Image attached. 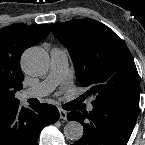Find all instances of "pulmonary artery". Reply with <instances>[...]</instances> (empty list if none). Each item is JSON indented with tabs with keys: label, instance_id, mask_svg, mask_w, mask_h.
I'll return each instance as SVG.
<instances>
[{
	"label": "pulmonary artery",
	"instance_id": "pulmonary-artery-1",
	"mask_svg": "<svg viewBox=\"0 0 145 145\" xmlns=\"http://www.w3.org/2000/svg\"><path fill=\"white\" fill-rule=\"evenodd\" d=\"M51 63L48 76L38 84L24 90L23 99L42 98L50 94L61 82L66 79L68 70V51L65 48L53 47L50 51ZM87 109H93L89 104Z\"/></svg>",
	"mask_w": 145,
	"mask_h": 145
}]
</instances>
